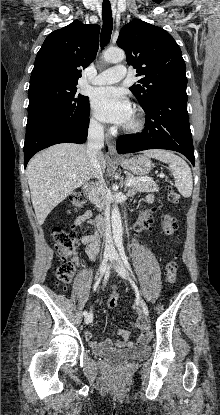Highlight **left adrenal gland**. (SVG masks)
Wrapping results in <instances>:
<instances>
[{"label": "left adrenal gland", "instance_id": "obj_1", "mask_svg": "<svg viewBox=\"0 0 220 415\" xmlns=\"http://www.w3.org/2000/svg\"><path fill=\"white\" fill-rule=\"evenodd\" d=\"M131 194H132V192H131V191H129V192H128V195H131Z\"/></svg>", "mask_w": 220, "mask_h": 415}]
</instances>
